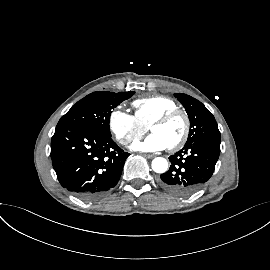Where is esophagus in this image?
Returning <instances> with one entry per match:
<instances>
[{
	"mask_svg": "<svg viewBox=\"0 0 270 270\" xmlns=\"http://www.w3.org/2000/svg\"><path fill=\"white\" fill-rule=\"evenodd\" d=\"M143 156L144 157H146V158H148V159H152V158H154L155 156H154V154H143Z\"/></svg>",
	"mask_w": 270,
	"mask_h": 270,
	"instance_id": "34e87169",
	"label": "esophagus"
}]
</instances>
